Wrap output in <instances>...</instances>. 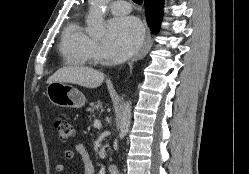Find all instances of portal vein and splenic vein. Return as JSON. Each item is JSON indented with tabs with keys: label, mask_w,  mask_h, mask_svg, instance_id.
<instances>
[{
	"label": "portal vein and splenic vein",
	"mask_w": 249,
	"mask_h": 174,
	"mask_svg": "<svg viewBox=\"0 0 249 174\" xmlns=\"http://www.w3.org/2000/svg\"><path fill=\"white\" fill-rule=\"evenodd\" d=\"M101 121L100 120H95L94 121V127L100 129L101 128Z\"/></svg>",
	"instance_id": "portal-vein-and-splenic-vein-1"
}]
</instances>
